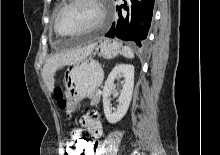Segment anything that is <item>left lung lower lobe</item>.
I'll return each instance as SVG.
<instances>
[{
  "label": "left lung lower lobe",
  "mask_w": 220,
  "mask_h": 155,
  "mask_svg": "<svg viewBox=\"0 0 220 155\" xmlns=\"http://www.w3.org/2000/svg\"><path fill=\"white\" fill-rule=\"evenodd\" d=\"M154 0H130L124 1V5L118 6L119 19L106 33L107 37H117L125 41H131L137 46H144L151 25ZM126 10L123 17L121 9Z\"/></svg>",
  "instance_id": "left-lung-lower-lobe-1"
}]
</instances>
